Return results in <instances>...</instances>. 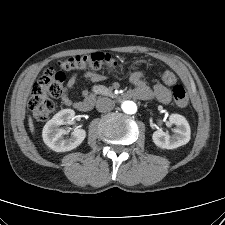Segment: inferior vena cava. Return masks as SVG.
I'll use <instances>...</instances> for the list:
<instances>
[{"label": "inferior vena cava", "mask_w": 225, "mask_h": 225, "mask_svg": "<svg viewBox=\"0 0 225 225\" xmlns=\"http://www.w3.org/2000/svg\"><path fill=\"white\" fill-rule=\"evenodd\" d=\"M115 106L114 101L109 98H99L96 103V108L99 112H108Z\"/></svg>", "instance_id": "1"}]
</instances>
